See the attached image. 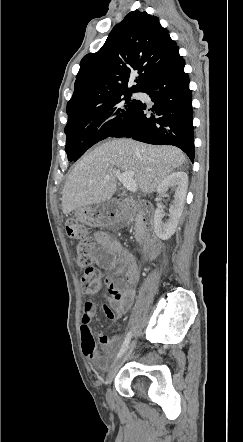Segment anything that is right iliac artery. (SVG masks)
<instances>
[{"instance_id": "right-iliac-artery-1", "label": "right iliac artery", "mask_w": 243, "mask_h": 442, "mask_svg": "<svg viewBox=\"0 0 243 442\" xmlns=\"http://www.w3.org/2000/svg\"><path fill=\"white\" fill-rule=\"evenodd\" d=\"M130 339H131V331L128 332V334H127V336H126V338H125V340H124V342L122 344V347H121V349H120V351H119V353L117 355V359L120 358L123 355V353L125 352V350L127 349L128 345H129V342H130Z\"/></svg>"}]
</instances>
